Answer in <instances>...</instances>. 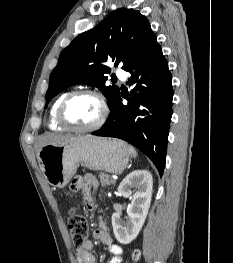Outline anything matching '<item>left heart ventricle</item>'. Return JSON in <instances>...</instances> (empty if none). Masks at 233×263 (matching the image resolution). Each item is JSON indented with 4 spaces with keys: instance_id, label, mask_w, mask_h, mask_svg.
<instances>
[{
    "instance_id": "left-heart-ventricle-1",
    "label": "left heart ventricle",
    "mask_w": 233,
    "mask_h": 263,
    "mask_svg": "<svg viewBox=\"0 0 233 263\" xmlns=\"http://www.w3.org/2000/svg\"><path fill=\"white\" fill-rule=\"evenodd\" d=\"M101 114V106L97 99L91 96H81L73 99L67 106V120L77 127H88L97 122Z\"/></svg>"
}]
</instances>
